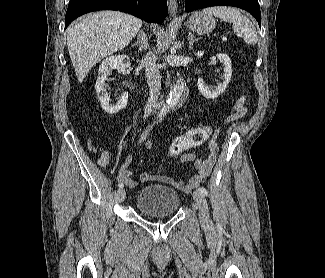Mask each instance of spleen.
<instances>
[{
  "label": "spleen",
  "mask_w": 325,
  "mask_h": 278,
  "mask_svg": "<svg viewBox=\"0 0 325 278\" xmlns=\"http://www.w3.org/2000/svg\"><path fill=\"white\" fill-rule=\"evenodd\" d=\"M203 13L213 15L225 22L232 23L233 30L236 33L243 34L244 41L249 45H255L258 41V35L254 25L241 12L232 7L217 6L203 9Z\"/></svg>",
  "instance_id": "obj_1"
}]
</instances>
